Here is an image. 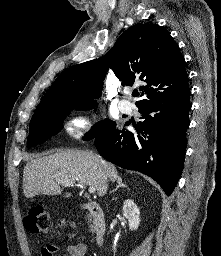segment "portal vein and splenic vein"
<instances>
[{
  "instance_id": "1",
  "label": "portal vein and splenic vein",
  "mask_w": 221,
  "mask_h": 256,
  "mask_svg": "<svg viewBox=\"0 0 221 256\" xmlns=\"http://www.w3.org/2000/svg\"><path fill=\"white\" fill-rule=\"evenodd\" d=\"M61 185L63 186H71L73 185L75 182L73 181H60ZM89 193H95V188L94 187H89L88 189Z\"/></svg>"
}]
</instances>
